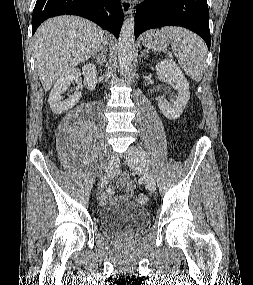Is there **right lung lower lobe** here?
Here are the masks:
<instances>
[{
  "instance_id": "98d812e1",
  "label": "right lung lower lobe",
  "mask_w": 253,
  "mask_h": 285,
  "mask_svg": "<svg viewBox=\"0 0 253 285\" xmlns=\"http://www.w3.org/2000/svg\"><path fill=\"white\" fill-rule=\"evenodd\" d=\"M64 14L85 17L116 37L124 19L119 0H37L32 14V35L46 19Z\"/></svg>"
}]
</instances>
